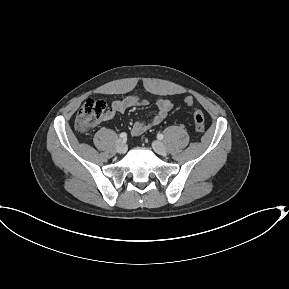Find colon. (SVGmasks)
I'll return each mask as SVG.
<instances>
[{
    "mask_svg": "<svg viewBox=\"0 0 289 289\" xmlns=\"http://www.w3.org/2000/svg\"><path fill=\"white\" fill-rule=\"evenodd\" d=\"M184 102L193 109V120L195 130L202 133L205 130V119L203 112L199 109L193 97L188 96ZM106 111L103 100L88 99L82 105L75 118V127L81 133L90 132L102 119Z\"/></svg>",
    "mask_w": 289,
    "mask_h": 289,
    "instance_id": "colon-1",
    "label": "colon"
}]
</instances>
